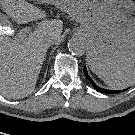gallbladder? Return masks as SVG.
I'll return each instance as SVG.
<instances>
[{
	"instance_id": "1",
	"label": "gallbladder",
	"mask_w": 135,
	"mask_h": 135,
	"mask_svg": "<svg viewBox=\"0 0 135 135\" xmlns=\"http://www.w3.org/2000/svg\"><path fill=\"white\" fill-rule=\"evenodd\" d=\"M7 17L3 14V13H1L0 12V25H7Z\"/></svg>"
}]
</instances>
